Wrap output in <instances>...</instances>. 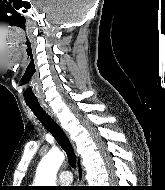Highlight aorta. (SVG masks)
<instances>
[{"mask_svg":"<svg viewBox=\"0 0 165 190\" xmlns=\"http://www.w3.org/2000/svg\"><path fill=\"white\" fill-rule=\"evenodd\" d=\"M64 158V153L60 150H50L38 166L36 184L39 186H55L56 174Z\"/></svg>","mask_w":165,"mask_h":190,"instance_id":"1","label":"aorta"}]
</instances>
